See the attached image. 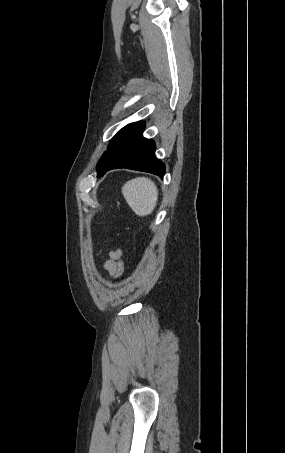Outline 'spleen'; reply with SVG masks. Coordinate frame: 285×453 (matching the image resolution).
Masks as SVG:
<instances>
[{"mask_svg":"<svg viewBox=\"0 0 285 453\" xmlns=\"http://www.w3.org/2000/svg\"><path fill=\"white\" fill-rule=\"evenodd\" d=\"M122 194L130 208L141 217L151 214L158 200L157 187L147 177L127 181L122 187Z\"/></svg>","mask_w":285,"mask_h":453,"instance_id":"spleen-1","label":"spleen"}]
</instances>
